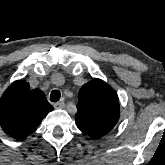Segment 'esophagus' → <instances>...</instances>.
<instances>
[{
  "label": "esophagus",
  "mask_w": 165,
  "mask_h": 165,
  "mask_svg": "<svg viewBox=\"0 0 165 165\" xmlns=\"http://www.w3.org/2000/svg\"><path fill=\"white\" fill-rule=\"evenodd\" d=\"M54 107L57 108V109H61L64 107V102H56L54 103Z\"/></svg>",
  "instance_id": "34e87169"
}]
</instances>
